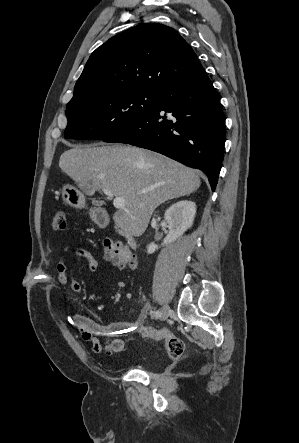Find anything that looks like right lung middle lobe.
I'll use <instances>...</instances> for the list:
<instances>
[{
  "label": "right lung middle lobe",
  "instance_id": "obj_1",
  "mask_svg": "<svg viewBox=\"0 0 299 443\" xmlns=\"http://www.w3.org/2000/svg\"><path fill=\"white\" fill-rule=\"evenodd\" d=\"M156 102L157 92L125 90L69 103L66 108L68 125L65 138L105 139L149 112Z\"/></svg>",
  "mask_w": 299,
  "mask_h": 443
}]
</instances>
